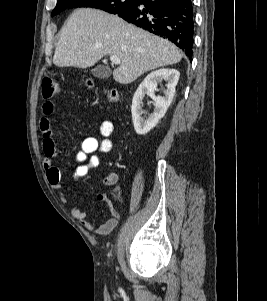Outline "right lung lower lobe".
Returning a JSON list of instances; mask_svg holds the SVG:
<instances>
[{
	"label": "right lung lower lobe",
	"instance_id": "obj_1",
	"mask_svg": "<svg viewBox=\"0 0 267 301\" xmlns=\"http://www.w3.org/2000/svg\"><path fill=\"white\" fill-rule=\"evenodd\" d=\"M118 16L171 41L192 61V0H138L131 9L118 13Z\"/></svg>",
	"mask_w": 267,
	"mask_h": 301
}]
</instances>
